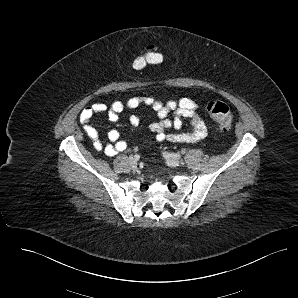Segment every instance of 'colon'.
I'll return each mask as SVG.
<instances>
[{"label": "colon", "mask_w": 298, "mask_h": 298, "mask_svg": "<svg viewBox=\"0 0 298 298\" xmlns=\"http://www.w3.org/2000/svg\"><path fill=\"white\" fill-rule=\"evenodd\" d=\"M162 57L153 45L145 48L144 52L137 56L133 62L135 69L141 70L148 65L158 64ZM209 116L222 128L228 129L233 121V112L230 107L221 101H211L206 106Z\"/></svg>", "instance_id": "colon-1"}]
</instances>
